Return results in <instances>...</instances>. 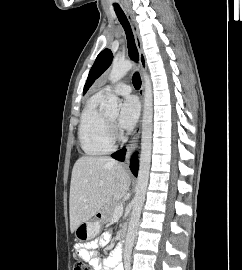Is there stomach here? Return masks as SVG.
<instances>
[{
	"mask_svg": "<svg viewBox=\"0 0 242 270\" xmlns=\"http://www.w3.org/2000/svg\"><path fill=\"white\" fill-rule=\"evenodd\" d=\"M101 219L95 218L81 223L74 231L77 241H89L99 234Z\"/></svg>",
	"mask_w": 242,
	"mask_h": 270,
	"instance_id": "obj_1",
	"label": "stomach"
}]
</instances>
